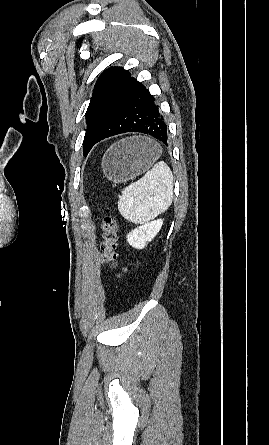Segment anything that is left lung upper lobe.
I'll return each instance as SVG.
<instances>
[{"mask_svg":"<svg viewBox=\"0 0 269 445\" xmlns=\"http://www.w3.org/2000/svg\"><path fill=\"white\" fill-rule=\"evenodd\" d=\"M130 78L128 70L119 67L107 69L98 78L86 112L87 129L83 155L87 156L93 147L95 138L114 111Z\"/></svg>","mask_w":269,"mask_h":445,"instance_id":"left-lung-upper-lobe-1","label":"left lung upper lobe"}]
</instances>
